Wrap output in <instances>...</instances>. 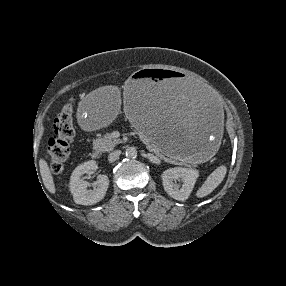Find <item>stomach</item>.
Wrapping results in <instances>:
<instances>
[{
	"label": "stomach",
	"instance_id": "obj_1",
	"mask_svg": "<svg viewBox=\"0 0 286 286\" xmlns=\"http://www.w3.org/2000/svg\"><path fill=\"white\" fill-rule=\"evenodd\" d=\"M123 111L145 140L166 156L203 162L220 145L223 103L210 85L188 74L141 68L124 94L104 84L83 95L75 115L84 128L100 130Z\"/></svg>",
	"mask_w": 286,
	"mask_h": 286
}]
</instances>
